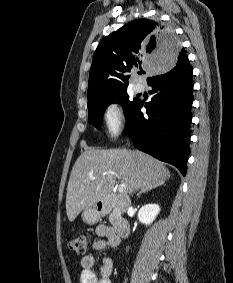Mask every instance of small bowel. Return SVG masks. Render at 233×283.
Listing matches in <instances>:
<instances>
[{
  "mask_svg": "<svg viewBox=\"0 0 233 283\" xmlns=\"http://www.w3.org/2000/svg\"><path fill=\"white\" fill-rule=\"evenodd\" d=\"M96 234L100 237L99 240L93 242L92 248L94 250H102L107 247L115 248L119 245V239L115 236L113 228L107 225H99L96 229ZM95 258L88 254L81 258L80 265L82 272L80 276V283H112L113 261L111 258H105L100 267V275L94 272Z\"/></svg>",
  "mask_w": 233,
  "mask_h": 283,
  "instance_id": "small-bowel-1",
  "label": "small bowel"
}]
</instances>
